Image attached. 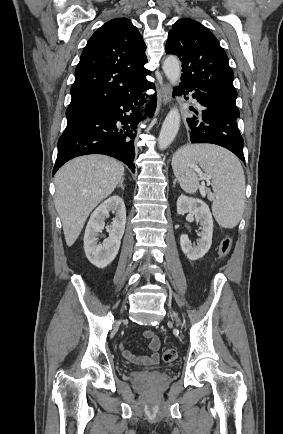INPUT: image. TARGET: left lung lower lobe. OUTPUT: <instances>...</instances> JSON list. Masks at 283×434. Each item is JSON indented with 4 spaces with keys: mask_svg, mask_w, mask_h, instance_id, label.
I'll list each match as a JSON object with an SVG mask.
<instances>
[{
    "mask_svg": "<svg viewBox=\"0 0 283 434\" xmlns=\"http://www.w3.org/2000/svg\"><path fill=\"white\" fill-rule=\"evenodd\" d=\"M192 91L195 92L192 97L197 100L199 107L197 110L190 108L194 114L186 120L191 143L216 144L245 161L244 142L236 123L240 116L237 106L184 82L173 94L186 95Z\"/></svg>",
    "mask_w": 283,
    "mask_h": 434,
    "instance_id": "1",
    "label": "left lung lower lobe"
}]
</instances>
